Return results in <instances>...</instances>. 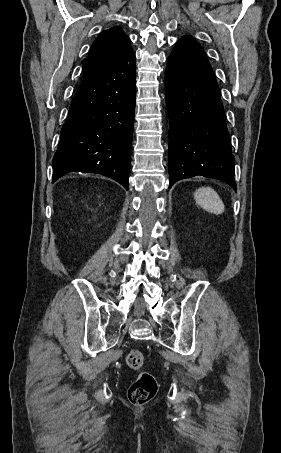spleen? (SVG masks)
I'll return each instance as SVG.
<instances>
[{
  "label": "spleen",
  "mask_w": 281,
  "mask_h": 453,
  "mask_svg": "<svg viewBox=\"0 0 281 453\" xmlns=\"http://www.w3.org/2000/svg\"><path fill=\"white\" fill-rule=\"evenodd\" d=\"M203 194L196 196V202L203 206L207 212H213V214H221L225 210V204H223L219 194H217L214 188L210 186H202Z\"/></svg>",
  "instance_id": "1"
}]
</instances>
